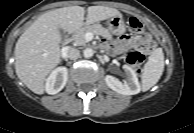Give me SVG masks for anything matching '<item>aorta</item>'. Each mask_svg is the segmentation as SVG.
Segmentation results:
<instances>
[{"label":"aorta","instance_id":"762f6f07","mask_svg":"<svg viewBox=\"0 0 194 133\" xmlns=\"http://www.w3.org/2000/svg\"><path fill=\"white\" fill-rule=\"evenodd\" d=\"M93 54H94V52L91 48H86L83 51V55H84L85 58H90V57L93 56Z\"/></svg>","mask_w":194,"mask_h":133}]
</instances>
